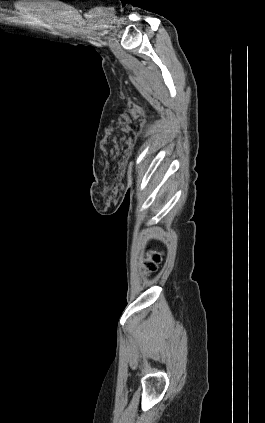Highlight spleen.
Instances as JSON below:
<instances>
[{
	"instance_id": "obj_1",
	"label": "spleen",
	"mask_w": 265,
	"mask_h": 423,
	"mask_svg": "<svg viewBox=\"0 0 265 423\" xmlns=\"http://www.w3.org/2000/svg\"><path fill=\"white\" fill-rule=\"evenodd\" d=\"M165 188H166V187H165ZM165 188H163V189L161 190V193H163V192H164Z\"/></svg>"
}]
</instances>
